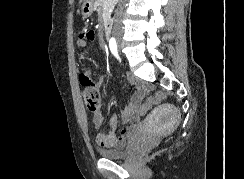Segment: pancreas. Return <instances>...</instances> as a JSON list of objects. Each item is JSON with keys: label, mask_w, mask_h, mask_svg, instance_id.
<instances>
[{"label": "pancreas", "mask_w": 244, "mask_h": 179, "mask_svg": "<svg viewBox=\"0 0 244 179\" xmlns=\"http://www.w3.org/2000/svg\"><path fill=\"white\" fill-rule=\"evenodd\" d=\"M98 6L104 10L103 14H101L102 18H105L106 12H109L110 8H107L108 0H97Z\"/></svg>", "instance_id": "pancreas-1"}]
</instances>
